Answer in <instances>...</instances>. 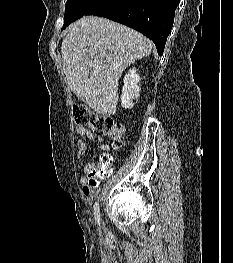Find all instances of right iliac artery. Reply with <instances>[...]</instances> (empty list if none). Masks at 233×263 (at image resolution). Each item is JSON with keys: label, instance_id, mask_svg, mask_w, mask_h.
Masks as SVG:
<instances>
[{"label": "right iliac artery", "instance_id": "82829eb1", "mask_svg": "<svg viewBox=\"0 0 233 263\" xmlns=\"http://www.w3.org/2000/svg\"><path fill=\"white\" fill-rule=\"evenodd\" d=\"M94 218L98 224H100V211H99V204L95 202L94 205Z\"/></svg>", "mask_w": 233, "mask_h": 263}]
</instances>
